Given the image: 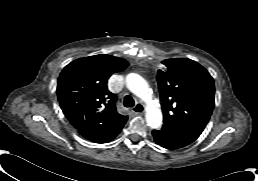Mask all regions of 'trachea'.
Masks as SVG:
<instances>
[{
	"label": "trachea",
	"instance_id": "3493384b",
	"mask_svg": "<svg viewBox=\"0 0 258 181\" xmlns=\"http://www.w3.org/2000/svg\"><path fill=\"white\" fill-rule=\"evenodd\" d=\"M134 104H135L134 99L131 96L126 95L124 98V106L125 107H133Z\"/></svg>",
	"mask_w": 258,
	"mask_h": 181
}]
</instances>
